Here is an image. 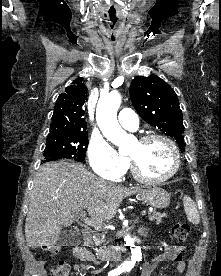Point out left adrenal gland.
Instances as JSON below:
<instances>
[{
    "instance_id": "a2214340",
    "label": "left adrenal gland",
    "mask_w": 221,
    "mask_h": 276,
    "mask_svg": "<svg viewBox=\"0 0 221 276\" xmlns=\"http://www.w3.org/2000/svg\"><path fill=\"white\" fill-rule=\"evenodd\" d=\"M138 232H139L141 235H146V234L148 233V229H146V228H140V229L138 230Z\"/></svg>"
}]
</instances>
